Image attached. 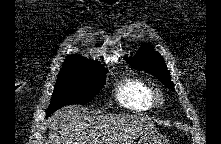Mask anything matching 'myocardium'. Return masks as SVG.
<instances>
[{"instance_id":"1","label":"myocardium","mask_w":221,"mask_h":144,"mask_svg":"<svg viewBox=\"0 0 221 144\" xmlns=\"http://www.w3.org/2000/svg\"><path fill=\"white\" fill-rule=\"evenodd\" d=\"M152 99H153V104H155L156 106H162L164 103V95L162 91L159 89L153 91Z\"/></svg>"}]
</instances>
